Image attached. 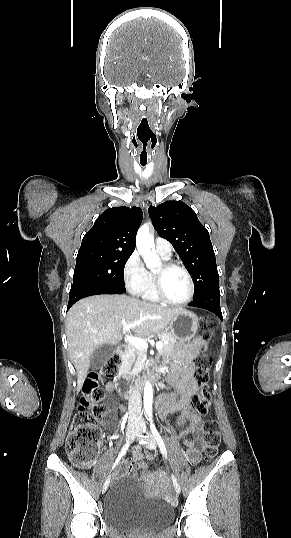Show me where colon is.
<instances>
[{
  "label": "colon",
  "mask_w": 291,
  "mask_h": 538,
  "mask_svg": "<svg viewBox=\"0 0 291 538\" xmlns=\"http://www.w3.org/2000/svg\"><path fill=\"white\" fill-rule=\"evenodd\" d=\"M214 321L211 317H204L200 321L202 338L208 339L212 335ZM120 355L114 352L106 360L99 372H92L84 382L82 396L80 398L79 411L72 423L66 449L70 460L82 467L87 468L94 462L100 443L101 430L100 419L105 414V407L101 404L104 393L101 384L105 376L112 377L120 365ZM194 379L200 389L191 399V405L201 414L207 415L211 405V395L209 392V369L211 358L204 353L198 354L193 359ZM221 443L219 426L216 420L209 418L204 427V452L208 459H212L218 452ZM139 466L146 468L147 464L142 462ZM137 465L130 466V473L136 472Z\"/></svg>",
  "instance_id": "colon-1"
}]
</instances>
